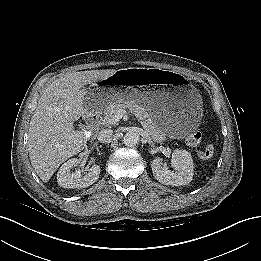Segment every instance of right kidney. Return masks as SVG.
<instances>
[{
	"instance_id": "1",
	"label": "right kidney",
	"mask_w": 261,
	"mask_h": 261,
	"mask_svg": "<svg viewBox=\"0 0 261 261\" xmlns=\"http://www.w3.org/2000/svg\"><path fill=\"white\" fill-rule=\"evenodd\" d=\"M77 158H71L65 162L57 173V182L63 188H85L95 183L100 175V167L93 165L89 172L82 174L81 170H76L71 173L70 170L73 166L78 165Z\"/></svg>"
}]
</instances>
